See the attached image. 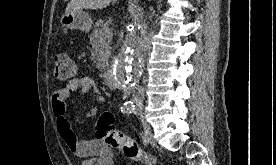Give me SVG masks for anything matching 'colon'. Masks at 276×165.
<instances>
[{"mask_svg":"<svg viewBox=\"0 0 276 165\" xmlns=\"http://www.w3.org/2000/svg\"><path fill=\"white\" fill-rule=\"evenodd\" d=\"M75 75V66L67 54L55 57V76L62 81L70 80ZM96 137L108 146L119 149L127 158L146 165H156L154 156L144 151L131 137L117 130L114 126V116L110 112L100 115L96 127Z\"/></svg>","mask_w":276,"mask_h":165,"instance_id":"5ec220e1","label":"colon"}]
</instances>
